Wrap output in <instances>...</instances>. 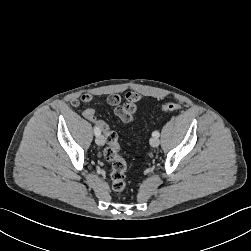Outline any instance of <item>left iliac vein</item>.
<instances>
[{"label": "left iliac vein", "mask_w": 251, "mask_h": 251, "mask_svg": "<svg viewBox=\"0 0 251 251\" xmlns=\"http://www.w3.org/2000/svg\"><path fill=\"white\" fill-rule=\"evenodd\" d=\"M160 144V140L158 139V137H152L150 139V145L153 147H157Z\"/></svg>", "instance_id": "left-iliac-vein-1"}]
</instances>
